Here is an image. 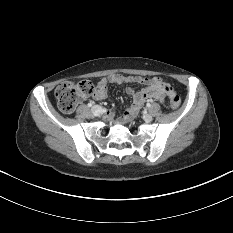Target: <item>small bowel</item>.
Listing matches in <instances>:
<instances>
[{
    "mask_svg": "<svg viewBox=\"0 0 233 233\" xmlns=\"http://www.w3.org/2000/svg\"><path fill=\"white\" fill-rule=\"evenodd\" d=\"M128 83L141 84L144 87L140 91H135L131 87L126 88V93L132 97V104L126 109L123 117L126 122L136 117L146 100L156 99L163 102L166 96L173 94L172 88L160 77L148 78L136 75L110 74L97 82L93 98L99 101L106 100L109 84L122 85ZM107 115L112 118L113 112H107Z\"/></svg>",
    "mask_w": 233,
    "mask_h": 233,
    "instance_id": "obj_1",
    "label": "small bowel"
}]
</instances>
